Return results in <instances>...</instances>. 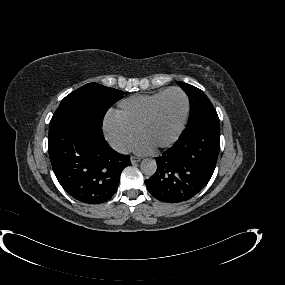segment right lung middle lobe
Masks as SVG:
<instances>
[{
    "label": "right lung middle lobe",
    "mask_w": 285,
    "mask_h": 285,
    "mask_svg": "<svg viewBox=\"0 0 285 285\" xmlns=\"http://www.w3.org/2000/svg\"><path fill=\"white\" fill-rule=\"evenodd\" d=\"M123 94V91L97 83L80 87L61 101L50 121L49 132L72 120H83L101 126L106 111L120 100Z\"/></svg>",
    "instance_id": "dd1d6c3e"
}]
</instances>
